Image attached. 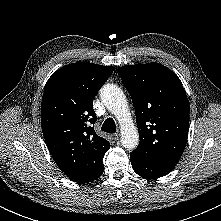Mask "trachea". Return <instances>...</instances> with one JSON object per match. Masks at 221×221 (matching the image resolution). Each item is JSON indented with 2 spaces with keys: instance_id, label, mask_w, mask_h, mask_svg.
<instances>
[{
  "instance_id": "3493384b",
  "label": "trachea",
  "mask_w": 221,
  "mask_h": 221,
  "mask_svg": "<svg viewBox=\"0 0 221 221\" xmlns=\"http://www.w3.org/2000/svg\"><path fill=\"white\" fill-rule=\"evenodd\" d=\"M102 131L106 133H115L116 132V124L112 118H107L101 128Z\"/></svg>"
}]
</instances>
